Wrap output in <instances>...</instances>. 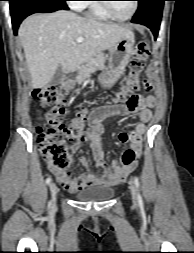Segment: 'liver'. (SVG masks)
<instances>
[{
	"mask_svg": "<svg viewBox=\"0 0 194 253\" xmlns=\"http://www.w3.org/2000/svg\"><path fill=\"white\" fill-rule=\"evenodd\" d=\"M18 36L32 88L49 84L58 67L74 72L121 39L134 38L126 26L95 21L65 10L27 17L19 27ZM78 37L84 41L77 42Z\"/></svg>",
	"mask_w": 194,
	"mask_h": 253,
	"instance_id": "liver-1",
	"label": "liver"
}]
</instances>
